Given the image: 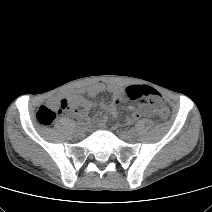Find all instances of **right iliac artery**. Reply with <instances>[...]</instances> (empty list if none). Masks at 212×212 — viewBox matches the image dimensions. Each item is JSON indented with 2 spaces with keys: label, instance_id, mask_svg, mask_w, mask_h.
<instances>
[{
  "label": "right iliac artery",
  "instance_id": "1",
  "mask_svg": "<svg viewBox=\"0 0 212 212\" xmlns=\"http://www.w3.org/2000/svg\"><path fill=\"white\" fill-rule=\"evenodd\" d=\"M85 125H86L85 123L79 122V123H77V126H76V127H77L78 129H82Z\"/></svg>",
  "mask_w": 212,
  "mask_h": 212
}]
</instances>
